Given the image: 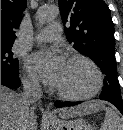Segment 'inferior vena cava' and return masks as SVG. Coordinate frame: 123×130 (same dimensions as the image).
Listing matches in <instances>:
<instances>
[{"label": "inferior vena cava", "mask_w": 123, "mask_h": 130, "mask_svg": "<svg viewBox=\"0 0 123 130\" xmlns=\"http://www.w3.org/2000/svg\"><path fill=\"white\" fill-rule=\"evenodd\" d=\"M23 110L21 116L20 130H31L30 127V112L33 110L31 106L39 102L42 98V89L37 81L24 80L23 82Z\"/></svg>", "instance_id": "602c4592"}]
</instances>
